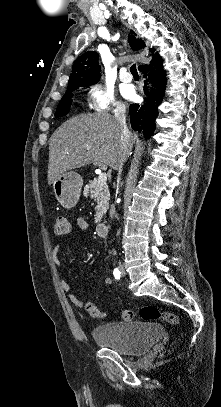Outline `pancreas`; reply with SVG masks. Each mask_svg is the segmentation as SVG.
Listing matches in <instances>:
<instances>
[{
	"mask_svg": "<svg viewBox=\"0 0 221 407\" xmlns=\"http://www.w3.org/2000/svg\"><path fill=\"white\" fill-rule=\"evenodd\" d=\"M84 196H90L94 198L97 206L95 208V223L101 221L102 217L105 215L109 208V189L107 184L100 185L98 180L89 181V183L84 187Z\"/></svg>",
	"mask_w": 221,
	"mask_h": 407,
	"instance_id": "obj_1",
	"label": "pancreas"
}]
</instances>
